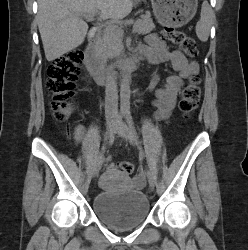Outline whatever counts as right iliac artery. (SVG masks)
Segmentation results:
<instances>
[{"mask_svg":"<svg viewBox=\"0 0 248 250\" xmlns=\"http://www.w3.org/2000/svg\"><path fill=\"white\" fill-rule=\"evenodd\" d=\"M123 117H124V114H123V113H120V114L118 115V117H117V119H116L115 127H114V129H113V131H112V133H111V136H110L111 139L114 138V135H115V133H116V128H117V126L119 125V123L122 121ZM104 149H105V147L103 146V147H102V151H101V152L99 153V155H98V158H102V157H103ZM98 158H97V159H98Z\"/></svg>","mask_w":248,"mask_h":250,"instance_id":"82829eb1","label":"right iliac artery"}]
</instances>
